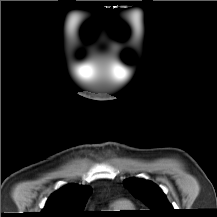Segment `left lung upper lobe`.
I'll return each mask as SVG.
<instances>
[{
  "mask_svg": "<svg viewBox=\"0 0 217 217\" xmlns=\"http://www.w3.org/2000/svg\"><path fill=\"white\" fill-rule=\"evenodd\" d=\"M123 184L150 209L147 211L150 217H171L174 214L175 209L155 183L139 178H129L124 180Z\"/></svg>",
  "mask_w": 217,
  "mask_h": 217,
  "instance_id": "obj_1",
  "label": "left lung upper lobe"
}]
</instances>
